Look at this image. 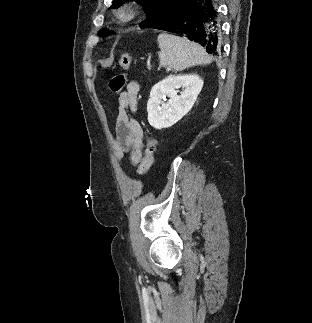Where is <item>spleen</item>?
I'll return each instance as SVG.
<instances>
[{
  "label": "spleen",
  "instance_id": "3e777b00",
  "mask_svg": "<svg viewBox=\"0 0 312 323\" xmlns=\"http://www.w3.org/2000/svg\"><path fill=\"white\" fill-rule=\"evenodd\" d=\"M160 66L173 68L175 72H183L191 66L211 64V58L200 44L190 42L188 38L173 36L170 32H162L157 38Z\"/></svg>",
  "mask_w": 312,
  "mask_h": 323
}]
</instances>
